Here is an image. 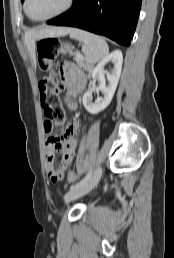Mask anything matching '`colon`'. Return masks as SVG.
I'll use <instances>...</instances> for the list:
<instances>
[{
	"label": "colon",
	"instance_id": "1",
	"mask_svg": "<svg viewBox=\"0 0 174 258\" xmlns=\"http://www.w3.org/2000/svg\"><path fill=\"white\" fill-rule=\"evenodd\" d=\"M60 43L53 38H45L37 43V53L39 65L43 70H48L58 54ZM64 84L42 80L39 82L40 102L44 110V115L53 126L60 127L66 120V110L61 104L60 94L64 91ZM64 137V133L60 134ZM67 180L75 182L77 175L70 171L67 173Z\"/></svg>",
	"mask_w": 174,
	"mask_h": 258
}]
</instances>
